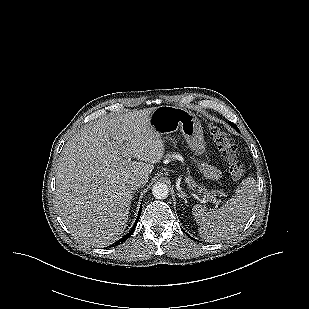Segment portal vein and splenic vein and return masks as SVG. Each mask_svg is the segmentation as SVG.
<instances>
[{"label": "portal vein and splenic vein", "instance_id": "obj_1", "mask_svg": "<svg viewBox=\"0 0 309 309\" xmlns=\"http://www.w3.org/2000/svg\"><path fill=\"white\" fill-rule=\"evenodd\" d=\"M209 200H206L205 198H203V199H201V202L202 203H206V202H208ZM214 203H215V205L216 206H218V204H219V202L215 199V200H212Z\"/></svg>", "mask_w": 309, "mask_h": 309}]
</instances>
